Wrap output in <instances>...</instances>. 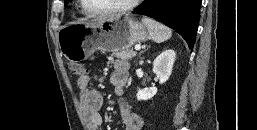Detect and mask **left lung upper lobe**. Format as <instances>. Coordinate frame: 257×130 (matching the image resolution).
<instances>
[{
    "mask_svg": "<svg viewBox=\"0 0 257 130\" xmlns=\"http://www.w3.org/2000/svg\"><path fill=\"white\" fill-rule=\"evenodd\" d=\"M70 0H64V4H68Z\"/></svg>",
    "mask_w": 257,
    "mask_h": 130,
    "instance_id": "1",
    "label": "left lung upper lobe"
}]
</instances>
